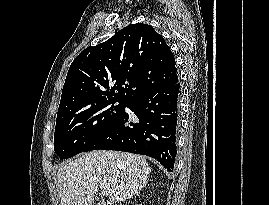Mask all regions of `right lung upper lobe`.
I'll list each match as a JSON object with an SVG mask.
<instances>
[{
    "label": "right lung upper lobe",
    "instance_id": "1",
    "mask_svg": "<svg viewBox=\"0 0 269 205\" xmlns=\"http://www.w3.org/2000/svg\"><path fill=\"white\" fill-rule=\"evenodd\" d=\"M175 59L148 24H131L107 41L83 50L72 62L57 119L109 100L129 102L178 83Z\"/></svg>",
    "mask_w": 269,
    "mask_h": 205
}]
</instances>
